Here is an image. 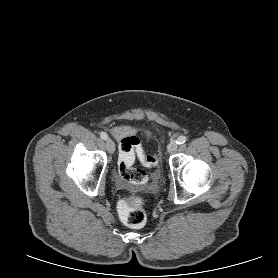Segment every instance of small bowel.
<instances>
[{
	"mask_svg": "<svg viewBox=\"0 0 278 278\" xmlns=\"http://www.w3.org/2000/svg\"><path fill=\"white\" fill-rule=\"evenodd\" d=\"M112 135L119 141L128 137H135L137 130L129 125H119L111 128Z\"/></svg>",
	"mask_w": 278,
	"mask_h": 278,
	"instance_id": "1",
	"label": "small bowel"
}]
</instances>
